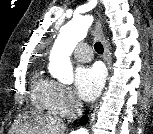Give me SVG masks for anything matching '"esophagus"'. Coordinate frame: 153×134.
I'll return each mask as SVG.
<instances>
[{"instance_id":"obj_1","label":"esophagus","mask_w":153,"mask_h":134,"mask_svg":"<svg viewBox=\"0 0 153 134\" xmlns=\"http://www.w3.org/2000/svg\"><path fill=\"white\" fill-rule=\"evenodd\" d=\"M96 34L103 44L104 60L107 64L108 68L110 69V65H111L110 51H109V46H108L107 40L105 38L104 31H103V26H102L100 16H99V18L97 19V22H96ZM97 108H98V103H95L94 105H92L89 109V115H93L96 112Z\"/></svg>"}]
</instances>
